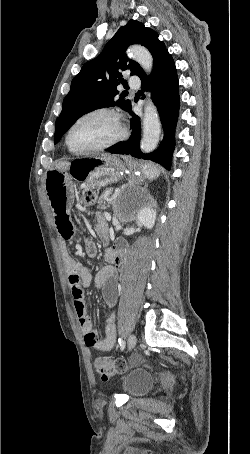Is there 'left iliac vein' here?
I'll list each match as a JSON object with an SVG mask.
<instances>
[{
	"label": "left iliac vein",
	"mask_w": 250,
	"mask_h": 454,
	"mask_svg": "<svg viewBox=\"0 0 250 454\" xmlns=\"http://www.w3.org/2000/svg\"><path fill=\"white\" fill-rule=\"evenodd\" d=\"M137 344V338L134 334H131L128 338V349L132 350Z\"/></svg>",
	"instance_id": "4c4485c4"
}]
</instances>
